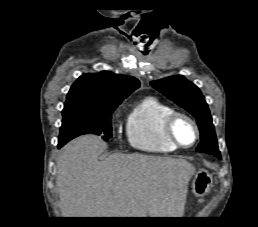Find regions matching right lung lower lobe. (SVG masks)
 Masks as SVG:
<instances>
[{
    "instance_id": "right-lung-lower-lobe-1",
    "label": "right lung lower lobe",
    "mask_w": 258,
    "mask_h": 227,
    "mask_svg": "<svg viewBox=\"0 0 258 227\" xmlns=\"http://www.w3.org/2000/svg\"><path fill=\"white\" fill-rule=\"evenodd\" d=\"M64 144H65V143H63V142H58V147L60 148V147H62Z\"/></svg>"
}]
</instances>
